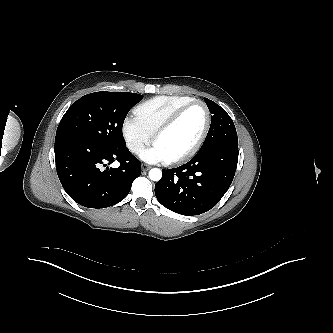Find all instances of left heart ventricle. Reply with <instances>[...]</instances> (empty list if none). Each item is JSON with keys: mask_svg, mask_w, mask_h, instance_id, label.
Masks as SVG:
<instances>
[{"mask_svg": "<svg viewBox=\"0 0 333 333\" xmlns=\"http://www.w3.org/2000/svg\"><path fill=\"white\" fill-rule=\"evenodd\" d=\"M205 120L204 108L201 105H195L163 133L155 144L162 150L167 159L178 156L195 144L202 133Z\"/></svg>", "mask_w": 333, "mask_h": 333, "instance_id": "1", "label": "left heart ventricle"}]
</instances>
